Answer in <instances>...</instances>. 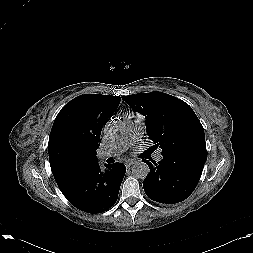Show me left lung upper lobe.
<instances>
[{
	"label": "left lung upper lobe",
	"instance_id": "obj_1",
	"mask_svg": "<svg viewBox=\"0 0 253 253\" xmlns=\"http://www.w3.org/2000/svg\"><path fill=\"white\" fill-rule=\"evenodd\" d=\"M136 112L145 116L146 132L161 154L195 152L206 155L203 127L184 101L154 91L123 96Z\"/></svg>",
	"mask_w": 253,
	"mask_h": 253
}]
</instances>
